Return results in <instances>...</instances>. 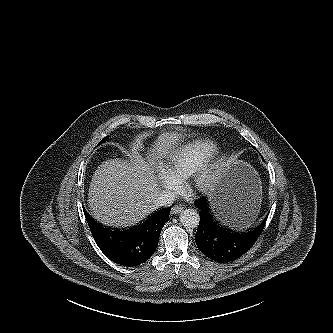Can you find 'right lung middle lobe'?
<instances>
[{
	"mask_svg": "<svg viewBox=\"0 0 333 333\" xmlns=\"http://www.w3.org/2000/svg\"><path fill=\"white\" fill-rule=\"evenodd\" d=\"M106 138H104L100 143H102Z\"/></svg>",
	"mask_w": 333,
	"mask_h": 333,
	"instance_id": "1",
	"label": "right lung middle lobe"
}]
</instances>
